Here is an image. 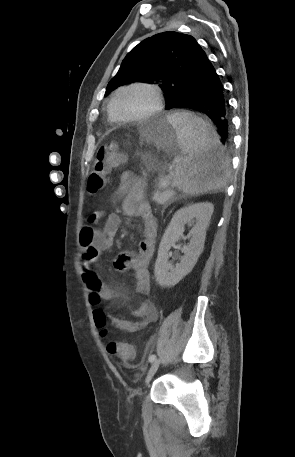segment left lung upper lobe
I'll use <instances>...</instances> for the list:
<instances>
[{"instance_id": "obj_1", "label": "left lung upper lobe", "mask_w": 295, "mask_h": 457, "mask_svg": "<svg viewBox=\"0 0 295 457\" xmlns=\"http://www.w3.org/2000/svg\"><path fill=\"white\" fill-rule=\"evenodd\" d=\"M201 49L194 37L182 33L169 31L149 37L126 55L105 95L128 82L158 84L168 104L185 87L188 70Z\"/></svg>"}]
</instances>
